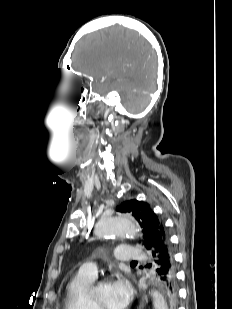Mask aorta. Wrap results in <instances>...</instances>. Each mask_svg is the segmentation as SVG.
<instances>
[{
  "instance_id": "762f6f07",
  "label": "aorta",
  "mask_w": 232,
  "mask_h": 309,
  "mask_svg": "<svg viewBox=\"0 0 232 309\" xmlns=\"http://www.w3.org/2000/svg\"><path fill=\"white\" fill-rule=\"evenodd\" d=\"M138 232L136 223L129 217L115 216L100 221L96 234L100 237H113L122 234L134 237ZM154 309H168L164 297L156 290L150 292Z\"/></svg>"
}]
</instances>
